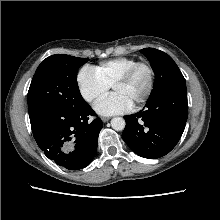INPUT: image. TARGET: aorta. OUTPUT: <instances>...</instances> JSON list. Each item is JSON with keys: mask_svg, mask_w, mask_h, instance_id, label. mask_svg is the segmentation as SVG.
I'll list each match as a JSON object with an SVG mask.
<instances>
[{"mask_svg": "<svg viewBox=\"0 0 220 220\" xmlns=\"http://www.w3.org/2000/svg\"><path fill=\"white\" fill-rule=\"evenodd\" d=\"M125 125V120L122 117H115L111 120V126L116 131H122Z\"/></svg>", "mask_w": 220, "mask_h": 220, "instance_id": "762f6f07", "label": "aorta"}]
</instances>
